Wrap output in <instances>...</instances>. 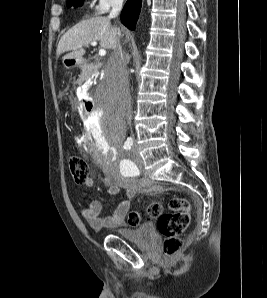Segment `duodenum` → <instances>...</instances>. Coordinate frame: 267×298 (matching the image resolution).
<instances>
[{"label": "duodenum", "instance_id": "410a0bca", "mask_svg": "<svg viewBox=\"0 0 267 298\" xmlns=\"http://www.w3.org/2000/svg\"><path fill=\"white\" fill-rule=\"evenodd\" d=\"M84 63V60H77L74 66L80 67ZM94 98H96V93H89V97L80 98V105H83L84 115H94Z\"/></svg>", "mask_w": 267, "mask_h": 298}]
</instances>
